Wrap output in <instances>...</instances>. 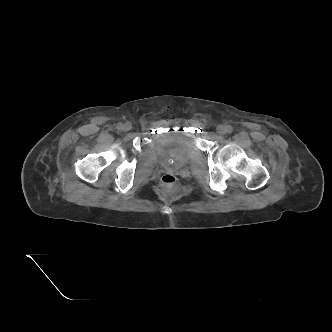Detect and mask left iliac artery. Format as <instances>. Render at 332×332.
<instances>
[{
  "instance_id": "1",
  "label": "left iliac artery",
  "mask_w": 332,
  "mask_h": 332,
  "mask_svg": "<svg viewBox=\"0 0 332 332\" xmlns=\"http://www.w3.org/2000/svg\"><path fill=\"white\" fill-rule=\"evenodd\" d=\"M226 130H227L228 133H231V132L233 131V127L230 126V125H228V126L226 127Z\"/></svg>"
}]
</instances>
